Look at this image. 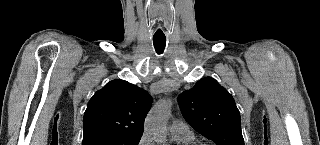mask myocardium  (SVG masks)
Here are the masks:
<instances>
[{
	"label": "myocardium",
	"instance_id": "1",
	"mask_svg": "<svg viewBox=\"0 0 320 145\" xmlns=\"http://www.w3.org/2000/svg\"><path fill=\"white\" fill-rule=\"evenodd\" d=\"M191 145H207V144H205V143H200V142H194V143L191 144Z\"/></svg>",
	"mask_w": 320,
	"mask_h": 145
}]
</instances>
